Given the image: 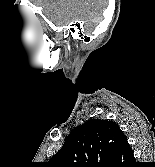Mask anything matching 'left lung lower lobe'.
Returning a JSON list of instances; mask_svg holds the SVG:
<instances>
[{
	"mask_svg": "<svg viewBox=\"0 0 155 167\" xmlns=\"http://www.w3.org/2000/svg\"><path fill=\"white\" fill-rule=\"evenodd\" d=\"M133 151L127 140H123L119 146L117 155L110 167H128V164L134 162Z\"/></svg>",
	"mask_w": 155,
	"mask_h": 167,
	"instance_id": "obj_1",
	"label": "left lung lower lobe"
}]
</instances>
